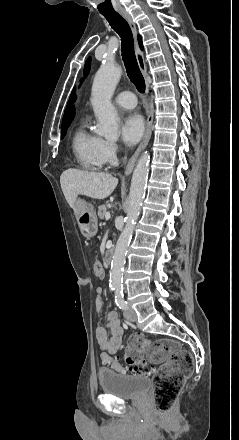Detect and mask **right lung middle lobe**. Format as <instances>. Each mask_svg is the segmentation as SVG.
Instances as JSON below:
<instances>
[{"label": "right lung middle lobe", "instance_id": "1", "mask_svg": "<svg viewBox=\"0 0 239 440\" xmlns=\"http://www.w3.org/2000/svg\"><path fill=\"white\" fill-rule=\"evenodd\" d=\"M70 124H68V125H66V126H64V127H62V130H61V137L63 138L64 136H65V134H66V132H67V129H68V126H69Z\"/></svg>", "mask_w": 239, "mask_h": 440}]
</instances>
